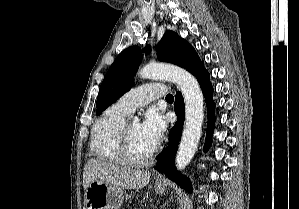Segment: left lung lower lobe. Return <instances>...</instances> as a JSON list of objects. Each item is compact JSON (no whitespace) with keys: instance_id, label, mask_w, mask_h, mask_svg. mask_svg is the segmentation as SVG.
I'll list each match as a JSON object with an SVG mask.
<instances>
[{"instance_id":"obj_1","label":"left lung lower lobe","mask_w":299,"mask_h":209,"mask_svg":"<svg viewBox=\"0 0 299 209\" xmlns=\"http://www.w3.org/2000/svg\"><path fill=\"white\" fill-rule=\"evenodd\" d=\"M198 79L202 91L204 93L206 103H207V113H208V125H207V135L204 151H207L211 144L212 132L214 129V102L212 100L213 88L209 81V73L204 68L203 63L192 73ZM174 110L177 115V122L175 123L173 129L170 131L169 144L160 155L156 169L164 173L169 179L173 180L184 188L188 192H192V187L188 178L179 173L173 165L175 164V153L178 148V143L180 140L181 132L184 123V101L180 92H177Z\"/></svg>"}]
</instances>
